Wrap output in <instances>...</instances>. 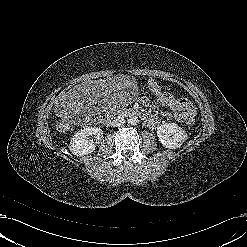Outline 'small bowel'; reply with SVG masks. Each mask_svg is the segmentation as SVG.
<instances>
[{"label":"small bowel","mask_w":247,"mask_h":247,"mask_svg":"<svg viewBox=\"0 0 247 247\" xmlns=\"http://www.w3.org/2000/svg\"><path fill=\"white\" fill-rule=\"evenodd\" d=\"M148 86L154 94L158 93H166L161 90L159 85L154 80H149ZM144 104H147V99L144 98L142 100ZM162 106H169L171 111L164 112L162 116L167 119H175L178 122H184L189 116H195L196 110L194 106L185 99H177L174 97V101L172 103L162 104ZM146 122L150 128H154L157 125V121L154 117L149 116L146 118Z\"/></svg>","instance_id":"1"}]
</instances>
